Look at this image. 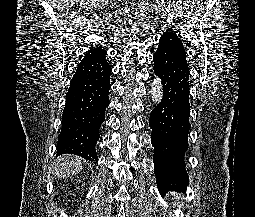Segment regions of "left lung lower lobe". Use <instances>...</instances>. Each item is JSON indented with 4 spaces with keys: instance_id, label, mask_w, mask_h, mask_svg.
Instances as JSON below:
<instances>
[{
    "instance_id": "left-lung-lower-lobe-1",
    "label": "left lung lower lobe",
    "mask_w": 255,
    "mask_h": 217,
    "mask_svg": "<svg viewBox=\"0 0 255 217\" xmlns=\"http://www.w3.org/2000/svg\"><path fill=\"white\" fill-rule=\"evenodd\" d=\"M154 73L161 78L163 98L150 114L157 186L161 193L186 188L184 154L190 129L189 68L186 56L158 46Z\"/></svg>"
}]
</instances>
